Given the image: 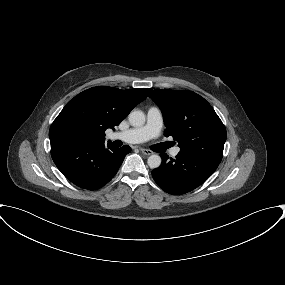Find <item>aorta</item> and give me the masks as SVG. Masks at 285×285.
Here are the masks:
<instances>
[{
  "label": "aorta",
  "instance_id": "obj_1",
  "mask_svg": "<svg viewBox=\"0 0 285 285\" xmlns=\"http://www.w3.org/2000/svg\"><path fill=\"white\" fill-rule=\"evenodd\" d=\"M145 114L141 110H133L129 114V122L132 126L140 127L145 123ZM161 157L157 154L149 156L147 163L151 169L158 168L161 165Z\"/></svg>",
  "mask_w": 285,
  "mask_h": 285
}]
</instances>
